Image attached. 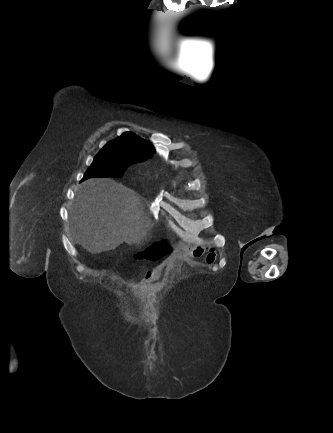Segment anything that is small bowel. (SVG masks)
Returning a JSON list of instances; mask_svg holds the SVG:
<instances>
[{
    "mask_svg": "<svg viewBox=\"0 0 333 433\" xmlns=\"http://www.w3.org/2000/svg\"><path fill=\"white\" fill-rule=\"evenodd\" d=\"M196 258H204L208 264H213L216 260V249L212 245L185 246L181 253L183 262ZM142 284L149 289H154V276L152 272H147L142 280Z\"/></svg>",
    "mask_w": 333,
    "mask_h": 433,
    "instance_id": "obj_1",
    "label": "small bowel"
}]
</instances>
